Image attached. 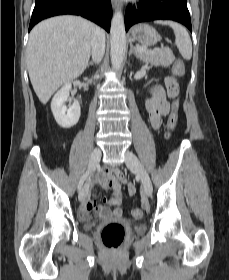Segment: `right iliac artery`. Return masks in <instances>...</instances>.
<instances>
[{"mask_svg":"<svg viewBox=\"0 0 229 280\" xmlns=\"http://www.w3.org/2000/svg\"><path fill=\"white\" fill-rule=\"evenodd\" d=\"M89 174H90V171L88 170V171H86V172L84 173V175H83L82 178L80 179V181H79V183H78V186H77L78 191L81 190V188H82V186H83V183H84V181L88 178Z\"/></svg>","mask_w":229,"mask_h":280,"instance_id":"1","label":"right iliac artery"}]
</instances>
